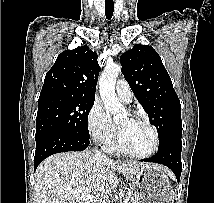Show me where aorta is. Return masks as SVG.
<instances>
[{"mask_svg":"<svg viewBox=\"0 0 214 203\" xmlns=\"http://www.w3.org/2000/svg\"><path fill=\"white\" fill-rule=\"evenodd\" d=\"M121 72V66L115 63L106 65L99 79V90L104 107L107 113L113 116L114 120L125 117L126 112L118 102L115 93V83L118 74Z\"/></svg>","mask_w":214,"mask_h":203,"instance_id":"1","label":"aorta"}]
</instances>
